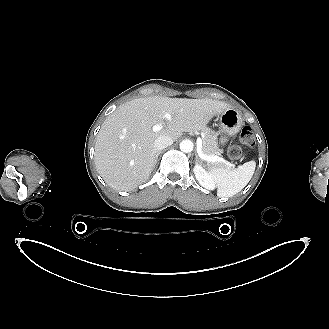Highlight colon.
I'll return each instance as SVG.
<instances>
[{
  "label": "colon",
  "mask_w": 329,
  "mask_h": 329,
  "mask_svg": "<svg viewBox=\"0 0 329 329\" xmlns=\"http://www.w3.org/2000/svg\"><path fill=\"white\" fill-rule=\"evenodd\" d=\"M240 141L245 145H253L255 142L253 131L250 127L246 126L241 130ZM229 157L238 159L242 155V150L237 145H232L228 150Z\"/></svg>",
  "instance_id": "1"
}]
</instances>
